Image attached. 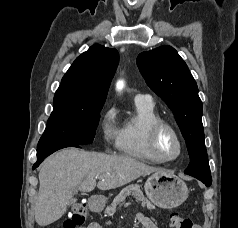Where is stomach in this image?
<instances>
[{
  "mask_svg": "<svg viewBox=\"0 0 238 228\" xmlns=\"http://www.w3.org/2000/svg\"><path fill=\"white\" fill-rule=\"evenodd\" d=\"M144 188L150 201L163 209L180 206L189 195L186 183L174 173L167 171L155 172L149 176ZM90 206L92 210H98L101 203L95 201Z\"/></svg>",
  "mask_w": 238,
  "mask_h": 228,
  "instance_id": "0dacf381",
  "label": "stomach"
}]
</instances>
